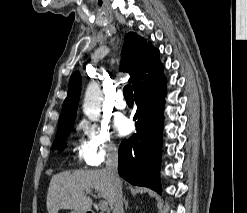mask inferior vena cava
Returning a JSON list of instances; mask_svg holds the SVG:
<instances>
[{"label": "inferior vena cava", "instance_id": "inferior-vena-cava-1", "mask_svg": "<svg viewBox=\"0 0 247 213\" xmlns=\"http://www.w3.org/2000/svg\"><path fill=\"white\" fill-rule=\"evenodd\" d=\"M106 172L111 181L114 183V209L113 213H124L123 211V196H122V182L118 175V151L115 146L107 148L106 155Z\"/></svg>", "mask_w": 247, "mask_h": 213}]
</instances>
